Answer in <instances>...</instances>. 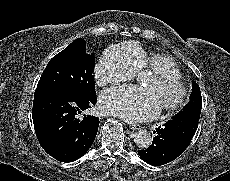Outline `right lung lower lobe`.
I'll use <instances>...</instances> for the list:
<instances>
[{"instance_id":"obj_1","label":"right lung lower lobe","mask_w":230,"mask_h":181,"mask_svg":"<svg viewBox=\"0 0 230 181\" xmlns=\"http://www.w3.org/2000/svg\"><path fill=\"white\" fill-rule=\"evenodd\" d=\"M96 101V96L70 92H42L34 96L32 118L36 136L50 156L61 162H72L89 150L99 118L80 114L92 108Z\"/></svg>"}]
</instances>
